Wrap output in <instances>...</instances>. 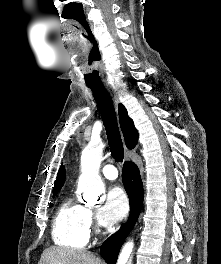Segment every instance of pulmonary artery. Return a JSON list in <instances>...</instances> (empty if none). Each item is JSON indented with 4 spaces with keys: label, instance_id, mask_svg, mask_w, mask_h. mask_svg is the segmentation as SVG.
I'll use <instances>...</instances> for the list:
<instances>
[{
    "label": "pulmonary artery",
    "instance_id": "obj_1",
    "mask_svg": "<svg viewBox=\"0 0 221 264\" xmlns=\"http://www.w3.org/2000/svg\"><path fill=\"white\" fill-rule=\"evenodd\" d=\"M102 173L105 178L109 180H115L118 177V171L116 167L112 164H107L103 167Z\"/></svg>",
    "mask_w": 221,
    "mask_h": 264
}]
</instances>
